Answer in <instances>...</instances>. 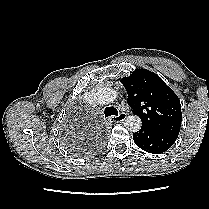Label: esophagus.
I'll use <instances>...</instances> for the list:
<instances>
[{
  "label": "esophagus",
  "instance_id": "obj_1",
  "mask_svg": "<svg viewBox=\"0 0 209 209\" xmlns=\"http://www.w3.org/2000/svg\"><path fill=\"white\" fill-rule=\"evenodd\" d=\"M126 117H127V114L125 112H121V113H119L118 116L110 117L109 120L113 123H119V122H122L123 120H125Z\"/></svg>",
  "mask_w": 209,
  "mask_h": 209
}]
</instances>
